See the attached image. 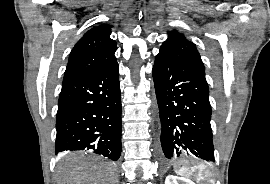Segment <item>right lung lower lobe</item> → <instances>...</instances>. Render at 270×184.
I'll return each mask as SVG.
<instances>
[{
	"mask_svg": "<svg viewBox=\"0 0 270 184\" xmlns=\"http://www.w3.org/2000/svg\"><path fill=\"white\" fill-rule=\"evenodd\" d=\"M118 64L63 80L55 153L91 150L113 161L121 154Z\"/></svg>",
	"mask_w": 270,
	"mask_h": 184,
	"instance_id": "obj_1",
	"label": "right lung lower lobe"
}]
</instances>
